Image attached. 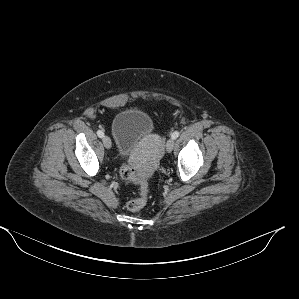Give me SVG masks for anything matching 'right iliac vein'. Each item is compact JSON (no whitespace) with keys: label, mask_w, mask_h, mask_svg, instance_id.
<instances>
[{"label":"right iliac vein","mask_w":299,"mask_h":299,"mask_svg":"<svg viewBox=\"0 0 299 299\" xmlns=\"http://www.w3.org/2000/svg\"><path fill=\"white\" fill-rule=\"evenodd\" d=\"M103 144H104L106 149H110L111 146H112L111 139L108 136H104L103 137Z\"/></svg>","instance_id":"obj_1"}]
</instances>
